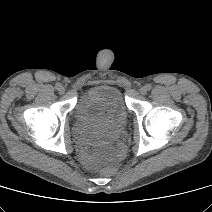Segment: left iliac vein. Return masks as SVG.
Here are the masks:
<instances>
[{"label":"left iliac vein","mask_w":212,"mask_h":212,"mask_svg":"<svg viewBox=\"0 0 212 212\" xmlns=\"http://www.w3.org/2000/svg\"><path fill=\"white\" fill-rule=\"evenodd\" d=\"M147 88L145 87V86H143V87H141L140 89H139V92H140V94L141 95H145L146 93H147Z\"/></svg>","instance_id":"obj_1"}]
</instances>
